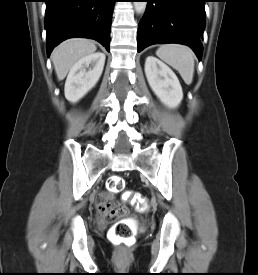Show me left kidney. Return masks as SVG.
<instances>
[{
	"label": "left kidney",
	"mask_w": 258,
	"mask_h": 275,
	"mask_svg": "<svg viewBox=\"0 0 258 275\" xmlns=\"http://www.w3.org/2000/svg\"><path fill=\"white\" fill-rule=\"evenodd\" d=\"M147 81L160 101L169 108H176L183 99V91L175 73L165 63L154 56L145 61Z\"/></svg>",
	"instance_id": "left-kidney-1"
}]
</instances>
